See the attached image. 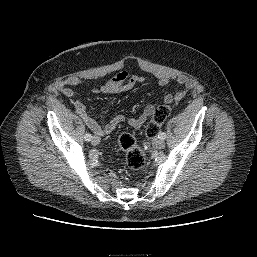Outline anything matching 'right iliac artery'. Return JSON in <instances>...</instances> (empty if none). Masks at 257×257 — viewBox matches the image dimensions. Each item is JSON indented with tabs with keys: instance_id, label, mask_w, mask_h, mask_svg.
Returning <instances> with one entry per match:
<instances>
[{
	"instance_id": "obj_1",
	"label": "right iliac artery",
	"mask_w": 257,
	"mask_h": 257,
	"mask_svg": "<svg viewBox=\"0 0 257 257\" xmlns=\"http://www.w3.org/2000/svg\"><path fill=\"white\" fill-rule=\"evenodd\" d=\"M84 139L86 141H90L92 139V135L90 133H86L85 136H84Z\"/></svg>"
}]
</instances>
